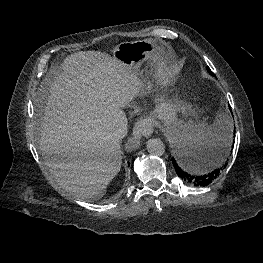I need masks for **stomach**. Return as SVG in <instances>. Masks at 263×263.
Segmentation results:
<instances>
[{
  "mask_svg": "<svg viewBox=\"0 0 263 263\" xmlns=\"http://www.w3.org/2000/svg\"><path fill=\"white\" fill-rule=\"evenodd\" d=\"M166 56L165 48L149 40L123 42L113 50V57L129 66L137 74L143 63L149 62L156 69L155 79L158 85L167 89L172 83V76L165 66ZM155 101V107L149 117L161 121L170 134L177 128V112L180 105L172 102L166 96H160ZM181 108L186 109L185 106Z\"/></svg>",
  "mask_w": 263,
  "mask_h": 263,
  "instance_id": "1",
  "label": "stomach"
}]
</instances>
